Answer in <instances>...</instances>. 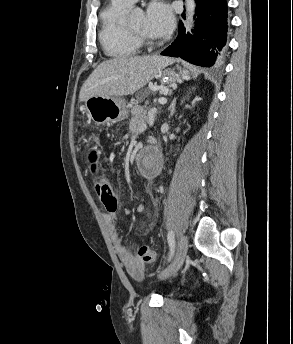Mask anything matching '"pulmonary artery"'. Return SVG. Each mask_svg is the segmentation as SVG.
Returning <instances> with one entry per match:
<instances>
[{
  "instance_id": "e3ab8cb5",
  "label": "pulmonary artery",
  "mask_w": 293,
  "mask_h": 344,
  "mask_svg": "<svg viewBox=\"0 0 293 344\" xmlns=\"http://www.w3.org/2000/svg\"><path fill=\"white\" fill-rule=\"evenodd\" d=\"M117 3H120V4H128V5H131L133 3H135L136 1L138 0H113Z\"/></svg>"
}]
</instances>
